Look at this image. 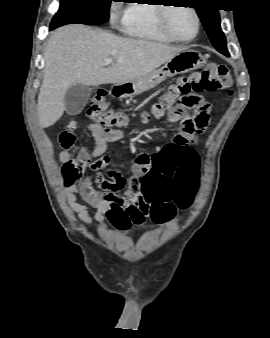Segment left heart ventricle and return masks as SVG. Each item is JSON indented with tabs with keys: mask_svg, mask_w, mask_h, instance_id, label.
<instances>
[{
	"mask_svg": "<svg viewBox=\"0 0 270 338\" xmlns=\"http://www.w3.org/2000/svg\"><path fill=\"white\" fill-rule=\"evenodd\" d=\"M169 23L172 32L179 38H190L195 33V17L188 9L174 8L170 12Z\"/></svg>",
	"mask_w": 270,
	"mask_h": 338,
	"instance_id": "obj_1",
	"label": "left heart ventricle"
}]
</instances>
